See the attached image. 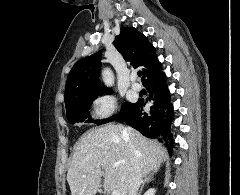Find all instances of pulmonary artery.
I'll return each instance as SVG.
<instances>
[{
	"instance_id": "obj_1",
	"label": "pulmonary artery",
	"mask_w": 240,
	"mask_h": 195,
	"mask_svg": "<svg viewBox=\"0 0 240 195\" xmlns=\"http://www.w3.org/2000/svg\"><path fill=\"white\" fill-rule=\"evenodd\" d=\"M132 89L136 92H140L142 90V85L138 83L135 78L133 79Z\"/></svg>"
}]
</instances>
